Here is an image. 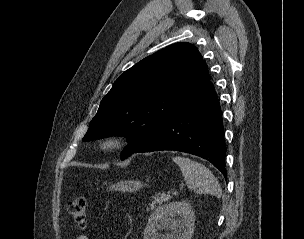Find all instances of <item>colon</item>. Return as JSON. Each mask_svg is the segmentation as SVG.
<instances>
[{"instance_id":"1","label":"colon","mask_w":304,"mask_h":239,"mask_svg":"<svg viewBox=\"0 0 304 239\" xmlns=\"http://www.w3.org/2000/svg\"><path fill=\"white\" fill-rule=\"evenodd\" d=\"M67 212L80 229L86 228L87 203L84 197H78L70 201L67 204Z\"/></svg>"}]
</instances>
